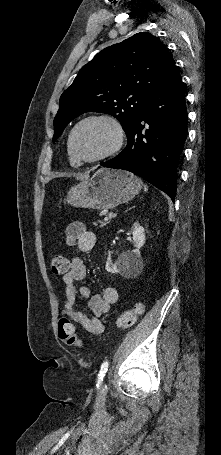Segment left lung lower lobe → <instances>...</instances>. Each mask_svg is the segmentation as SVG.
Listing matches in <instances>:
<instances>
[{
	"label": "left lung lower lobe",
	"instance_id": "0a47b994",
	"mask_svg": "<svg viewBox=\"0 0 221 455\" xmlns=\"http://www.w3.org/2000/svg\"><path fill=\"white\" fill-rule=\"evenodd\" d=\"M187 136V109L176 66L139 112L127 146L101 166L133 172L174 200L177 169Z\"/></svg>",
	"mask_w": 221,
	"mask_h": 455
}]
</instances>
